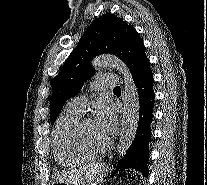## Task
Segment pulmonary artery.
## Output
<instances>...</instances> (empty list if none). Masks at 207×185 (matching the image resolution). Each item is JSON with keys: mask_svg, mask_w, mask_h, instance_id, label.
I'll return each mask as SVG.
<instances>
[{"mask_svg": "<svg viewBox=\"0 0 207 185\" xmlns=\"http://www.w3.org/2000/svg\"><path fill=\"white\" fill-rule=\"evenodd\" d=\"M92 91H114V86H122L120 77H97V81H91ZM87 99L84 96H79L71 99L66 110L82 114L85 108Z\"/></svg>", "mask_w": 207, "mask_h": 185, "instance_id": "1", "label": "pulmonary artery"}]
</instances>
